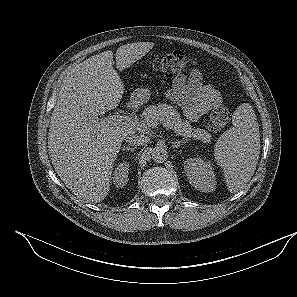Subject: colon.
<instances>
[{
	"label": "colon",
	"mask_w": 297,
	"mask_h": 297,
	"mask_svg": "<svg viewBox=\"0 0 297 297\" xmlns=\"http://www.w3.org/2000/svg\"><path fill=\"white\" fill-rule=\"evenodd\" d=\"M196 66V59L182 51H170L157 56L152 67L166 76H176L191 71ZM230 120V110L227 106L219 105L210 114L208 128L212 132H219L226 127Z\"/></svg>",
	"instance_id": "colon-1"
}]
</instances>
